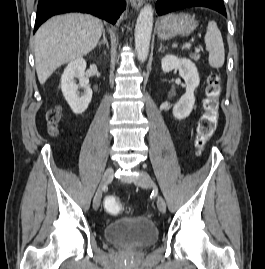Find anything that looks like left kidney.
<instances>
[{
  "label": "left kidney",
  "mask_w": 265,
  "mask_h": 269,
  "mask_svg": "<svg viewBox=\"0 0 265 269\" xmlns=\"http://www.w3.org/2000/svg\"><path fill=\"white\" fill-rule=\"evenodd\" d=\"M162 70L168 73L174 69L179 71V75L186 83V93L173 107V115L178 120L187 118L195 103L194 90L200 83L199 73L195 64L186 58H179L175 55H166L161 61Z\"/></svg>",
  "instance_id": "1"
}]
</instances>
